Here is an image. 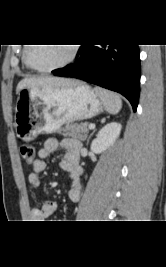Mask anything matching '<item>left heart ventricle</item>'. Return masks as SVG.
<instances>
[{"instance_id": "left-heart-ventricle-1", "label": "left heart ventricle", "mask_w": 166, "mask_h": 267, "mask_svg": "<svg viewBox=\"0 0 166 267\" xmlns=\"http://www.w3.org/2000/svg\"><path fill=\"white\" fill-rule=\"evenodd\" d=\"M70 53L68 45H33L29 50L30 63L38 68H48L63 62Z\"/></svg>"}]
</instances>
